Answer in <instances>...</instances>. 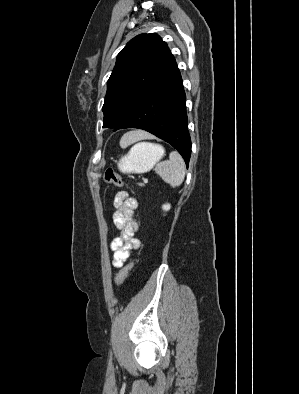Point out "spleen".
<instances>
[{"label": "spleen", "instance_id": "3e777b00", "mask_svg": "<svg viewBox=\"0 0 299 394\" xmlns=\"http://www.w3.org/2000/svg\"><path fill=\"white\" fill-rule=\"evenodd\" d=\"M127 145V135H124L121 139V146L125 147ZM138 145L139 143L134 145L131 151L133 152ZM155 171L166 183L175 188L183 182L186 167L181 155L177 151H172L169 155V160L158 163L155 167Z\"/></svg>", "mask_w": 299, "mask_h": 394}]
</instances>
